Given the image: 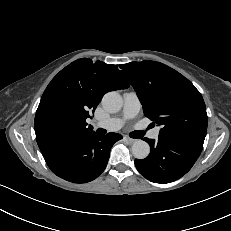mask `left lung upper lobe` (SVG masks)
I'll return each mask as SVG.
<instances>
[{
	"mask_svg": "<svg viewBox=\"0 0 231 231\" xmlns=\"http://www.w3.org/2000/svg\"><path fill=\"white\" fill-rule=\"evenodd\" d=\"M120 68L134 87L145 116L162 126L159 134L206 136L205 103L187 78L165 64L149 60L130 62Z\"/></svg>",
	"mask_w": 231,
	"mask_h": 231,
	"instance_id": "5c2ea615",
	"label": "left lung upper lobe"
}]
</instances>
